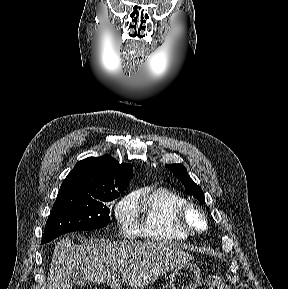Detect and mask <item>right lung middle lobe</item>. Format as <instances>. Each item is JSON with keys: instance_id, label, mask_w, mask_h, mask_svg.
Wrapping results in <instances>:
<instances>
[{"instance_id": "obj_1", "label": "right lung middle lobe", "mask_w": 288, "mask_h": 289, "mask_svg": "<svg viewBox=\"0 0 288 289\" xmlns=\"http://www.w3.org/2000/svg\"><path fill=\"white\" fill-rule=\"evenodd\" d=\"M122 192H59L46 223L42 244L70 231L105 227L110 221L106 202L116 199Z\"/></svg>"}]
</instances>
